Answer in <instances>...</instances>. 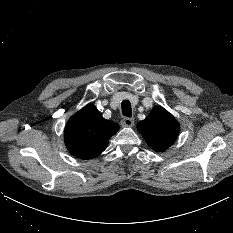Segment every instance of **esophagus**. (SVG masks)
<instances>
[{
    "label": "esophagus",
    "mask_w": 233,
    "mask_h": 233,
    "mask_svg": "<svg viewBox=\"0 0 233 233\" xmlns=\"http://www.w3.org/2000/svg\"><path fill=\"white\" fill-rule=\"evenodd\" d=\"M134 125V119L133 118H124L121 120V126L122 127H132Z\"/></svg>",
    "instance_id": "1"
}]
</instances>
